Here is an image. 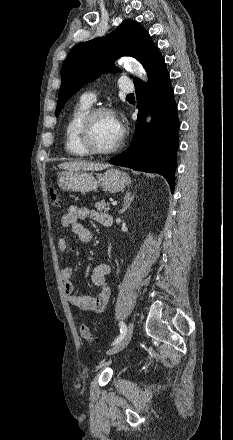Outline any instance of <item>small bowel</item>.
Here are the masks:
<instances>
[{
  "mask_svg": "<svg viewBox=\"0 0 233 440\" xmlns=\"http://www.w3.org/2000/svg\"><path fill=\"white\" fill-rule=\"evenodd\" d=\"M90 217L93 221L102 224V221L111 217L108 213L98 210L89 209L81 205L70 206L61 218V225L70 228L80 239L81 242L89 243L93 240V233L85 228L80 220ZM60 251L68 249V241L66 238H60L57 242ZM111 272V266L108 263H100L93 269L91 280L92 283L100 288V292L95 297L78 296L74 294V286L71 281L73 269L69 266L61 270V279L63 291L68 302L82 311L100 313L109 301L111 289L106 282L107 275Z\"/></svg>",
  "mask_w": 233,
  "mask_h": 440,
  "instance_id": "1",
  "label": "small bowel"
}]
</instances>
